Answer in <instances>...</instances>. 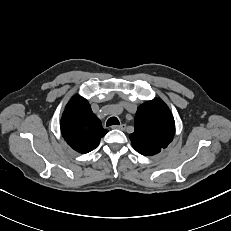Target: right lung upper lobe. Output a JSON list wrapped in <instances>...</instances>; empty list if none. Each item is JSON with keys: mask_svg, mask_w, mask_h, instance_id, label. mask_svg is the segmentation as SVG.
<instances>
[{"mask_svg": "<svg viewBox=\"0 0 231 231\" xmlns=\"http://www.w3.org/2000/svg\"><path fill=\"white\" fill-rule=\"evenodd\" d=\"M107 132L86 99L79 95L71 98L61 118V133L74 150L80 153L94 150Z\"/></svg>", "mask_w": 231, "mask_h": 231, "instance_id": "cb5924a9", "label": "right lung upper lobe"}]
</instances>
